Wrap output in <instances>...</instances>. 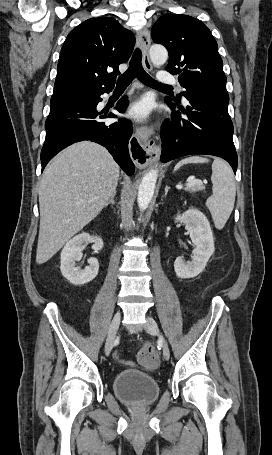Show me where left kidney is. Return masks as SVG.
I'll use <instances>...</instances> for the list:
<instances>
[{
  "instance_id": "left-kidney-1",
  "label": "left kidney",
  "mask_w": 272,
  "mask_h": 455,
  "mask_svg": "<svg viewBox=\"0 0 272 455\" xmlns=\"http://www.w3.org/2000/svg\"><path fill=\"white\" fill-rule=\"evenodd\" d=\"M175 222H183L195 245L191 262L176 258L174 270L179 278H193L200 274L214 252V238L206 216L196 208H190L177 215Z\"/></svg>"
}]
</instances>
